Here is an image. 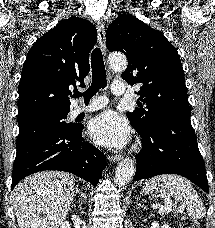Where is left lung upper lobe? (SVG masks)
<instances>
[{"instance_id": "left-lung-upper-lobe-1", "label": "left lung upper lobe", "mask_w": 215, "mask_h": 228, "mask_svg": "<svg viewBox=\"0 0 215 228\" xmlns=\"http://www.w3.org/2000/svg\"><path fill=\"white\" fill-rule=\"evenodd\" d=\"M109 51H121L128 59L121 77L142 84L138 99L146 105L127 113L138 134L148 132L159 119L190 116L184 72L175 47L165 36L132 15H122L108 27Z\"/></svg>"}]
</instances>
